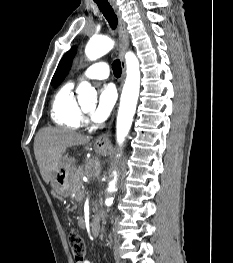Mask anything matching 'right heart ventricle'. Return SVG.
Instances as JSON below:
<instances>
[{
	"label": "right heart ventricle",
	"instance_id": "e07e8e85",
	"mask_svg": "<svg viewBox=\"0 0 233 263\" xmlns=\"http://www.w3.org/2000/svg\"><path fill=\"white\" fill-rule=\"evenodd\" d=\"M51 118L56 125L79 129L83 115L73 92V83L67 82L57 91L51 105Z\"/></svg>",
	"mask_w": 233,
	"mask_h": 263
}]
</instances>
